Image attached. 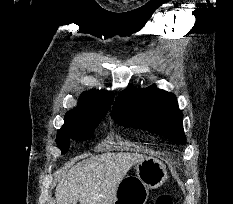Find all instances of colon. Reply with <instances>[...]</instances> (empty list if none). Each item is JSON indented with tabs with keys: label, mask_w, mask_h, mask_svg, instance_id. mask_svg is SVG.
Here are the masks:
<instances>
[{
	"label": "colon",
	"mask_w": 233,
	"mask_h": 204,
	"mask_svg": "<svg viewBox=\"0 0 233 204\" xmlns=\"http://www.w3.org/2000/svg\"><path fill=\"white\" fill-rule=\"evenodd\" d=\"M155 204H173V201L170 195L162 194L157 198Z\"/></svg>",
	"instance_id": "colon-1"
}]
</instances>
